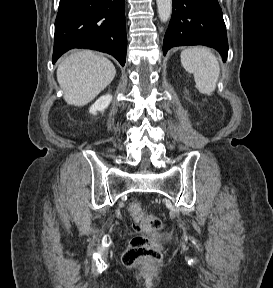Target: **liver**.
I'll use <instances>...</instances> for the list:
<instances>
[{
    "label": "liver",
    "instance_id": "obj_1",
    "mask_svg": "<svg viewBox=\"0 0 273 288\" xmlns=\"http://www.w3.org/2000/svg\"><path fill=\"white\" fill-rule=\"evenodd\" d=\"M116 70L107 58L90 50L65 57L57 69V80L69 105L84 106L114 79Z\"/></svg>",
    "mask_w": 273,
    "mask_h": 288
}]
</instances>
